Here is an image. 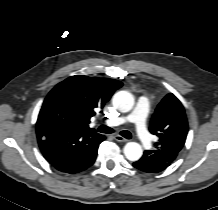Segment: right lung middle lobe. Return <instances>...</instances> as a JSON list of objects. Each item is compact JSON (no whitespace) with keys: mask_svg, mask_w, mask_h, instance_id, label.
<instances>
[{"mask_svg":"<svg viewBox=\"0 0 218 210\" xmlns=\"http://www.w3.org/2000/svg\"><path fill=\"white\" fill-rule=\"evenodd\" d=\"M36 125H54L66 129H75L70 109L60 100L49 97H46L42 105Z\"/></svg>","mask_w":218,"mask_h":210,"instance_id":"right-lung-middle-lobe-1","label":"right lung middle lobe"}]
</instances>
